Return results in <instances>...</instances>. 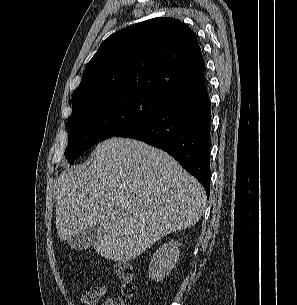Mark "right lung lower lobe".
I'll use <instances>...</instances> for the list:
<instances>
[{
    "instance_id": "obj_1",
    "label": "right lung lower lobe",
    "mask_w": 297,
    "mask_h": 305,
    "mask_svg": "<svg viewBox=\"0 0 297 305\" xmlns=\"http://www.w3.org/2000/svg\"><path fill=\"white\" fill-rule=\"evenodd\" d=\"M211 110L205 85L170 97L138 124L116 134L168 152L210 191Z\"/></svg>"
}]
</instances>
